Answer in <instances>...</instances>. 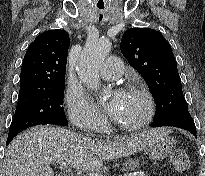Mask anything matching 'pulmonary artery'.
Wrapping results in <instances>:
<instances>
[{"mask_svg":"<svg viewBox=\"0 0 205 176\" xmlns=\"http://www.w3.org/2000/svg\"><path fill=\"white\" fill-rule=\"evenodd\" d=\"M124 71L122 61L116 56L107 57L99 67V75L104 79L121 77Z\"/></svg>","mask_w":205,"mask_h":176,"instance_id":"e3ab8cb5","label":"pulmonary artery"}]
</instances>
